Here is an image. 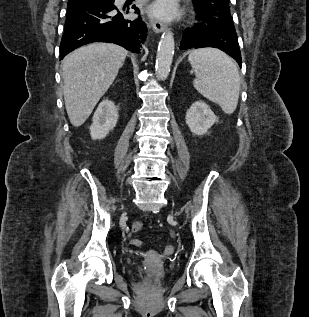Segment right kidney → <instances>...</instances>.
Instances as JSON below:
<instances>
[{
  "label": "right kidney",
  "mask_w": 309,
  "mask_h": 317,
  "mask_svg": "<svg viewBox=\"0 0 309 317\" xmlns=\"http://www.w3.org/2000/svg\"><path fill=\"white\" fill-rule=\"evenodd\" d=\"M118 110L108 99L103 100L94 113L90 126V135L93 140L105 138L118 121Z\"/></svg>",
  "instance_id": "right-kidney-1"
}]
</instances>
